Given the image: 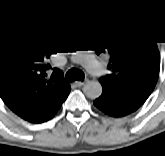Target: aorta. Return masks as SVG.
Returning a JSON list of instances; mask_svg holds the SVG:
<instances>
[{"label": "aorta", "instance_id": "1", "mask_svg": "<svg viewBox=\"0 0 165 156\" xmlns=\"http://www.w3.org/2000/svg\"><path fill=\"white\" fill-rule=\"evenodd\" d=\"M84 94L90 99H96L102 94V85L98 81H89L83 87Z\"/></svg>", "mask_w": 165, "mask_h": 156}]
</instances>
